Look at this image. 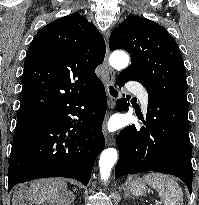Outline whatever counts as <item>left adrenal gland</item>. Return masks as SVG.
I'll return each mask as SVG.
<instances>
[{"label": "left adrenal gland", "instance_id": "obj_1", "mask_svg": "<svg viewBox=\"0 0 199 205\" xmlns=\"http://www.w3.org/2000/svg\"><path fill=\"white\" fill-rule=\"evenodd\" d=\"M130 197V195L128 194V192H125V198Z\"/></svg>", "mask_w": 199, "mask_h": 205}]
</instances>
